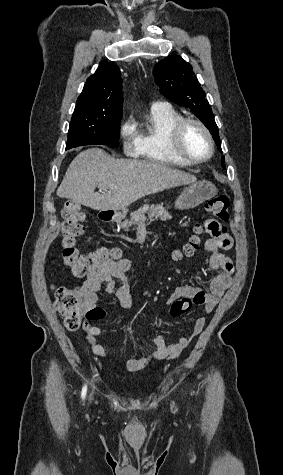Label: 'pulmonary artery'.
<instances>
[{"mask_svg":"<svg viewBox=\"0 0 283 475\" xmlns=\"http://www.w3.org/2000/svg\"><path fill=\"white\" fill-rule=\"evenodd\" d=\"M164 104H167V103H165V102H153L152 106L155 107V106L164 105Z\"/></svg>","mask_w":283,"mask_h":475,"instance_id":"e3ab8cb5","label":"pulmonary artery"}]
</instances>
